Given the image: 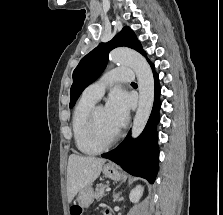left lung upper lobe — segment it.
Here are the masks:
<instances>
[{
  "label": "left lung upper lobe",
  "mask_w": 223,
  "mask_h": 215,
  "mask_svg": "<svg viewBox=\"0 0 223 215\" xmlns=\"http://www.w3.org/2000/svg\"><path fill=\"white\" fill-rule=\"evenodd\" d=\"M126 46L145 55L135 33L129 27H124L111 41L101 43L84 56L73 72V84L70 90V108H72L82 91L103 72L108 61L110 50ZM150 64H152L149 61Z\"/></svg>",
  "instance_id": "left-lung-upper-lobe-1"
}]
</instances>
